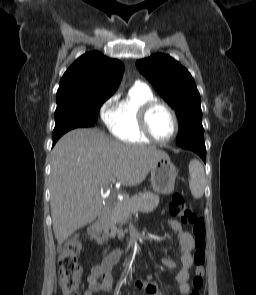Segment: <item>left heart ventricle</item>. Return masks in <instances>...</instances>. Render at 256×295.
<instances>
[{"label": "left heart ventricle", "mask_w": 256, "mask_h": 295, "mask_svg": "<svg viewBox=\"0 0 256 295\" xmlns=\"http://www.w3.org/2000/svg\"><path fill=\"white\" fill-rule=\"evenodd\" d=\"M149 124L153 134L161 140L169 138L174 131L173 119L163 107H157L151 112Z\"/></svg>", "instance_id": "left-heart-ventricle-1"}]
</instances>
